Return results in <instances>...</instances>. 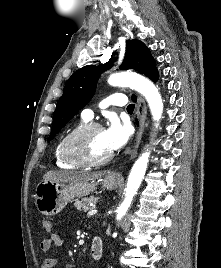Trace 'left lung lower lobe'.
Here are the masks:
<instances>
[{
    "label": "left lung lower lobe",
    "mask_w": 221,
    "mask_h": 268,
    "mask_svg": "<svg viewBox=\"0 0 221 268\" xmlns=\"http://www.w3.org/2000/svg\"><path fill=\"white\" fill-rule=\"evenodd\" d=\"M132 100H133L134 102L136 101V96H135V95L132 96Z\"/></svg>",
    "instance_id": "1"
}]
</instances>
